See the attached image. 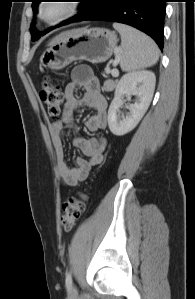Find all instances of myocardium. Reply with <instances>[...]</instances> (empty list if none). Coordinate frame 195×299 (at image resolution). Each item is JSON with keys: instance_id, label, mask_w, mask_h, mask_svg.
Returning <instances> with one entry per match:
<instances>
[{"instance_id": "obj_1", "label": "myocardium", "mask_w": 195, "mask_h": 299, "mask_svg": "<svg viewBox=\"0 0 195 299\" xmlns=\"http://www.w3.org/2000/svg\"><path fill=\"white\" fill-rule=\"evenodd\" d=\"M58 1H61L62 4L65 5L64 6L65 10H64V13L60 17H58L57 19L52 20V21L46 20L43 17V14H42L45 5L47 3H50V1H42L39 4L37 15H38V18L43 23H45V24H47L49 26H56V25L62 24L65 21L71 19L72 17H74L78 13V10H79V3H78V1H75V0H58Z\"/></svg>"}]
</instances>
